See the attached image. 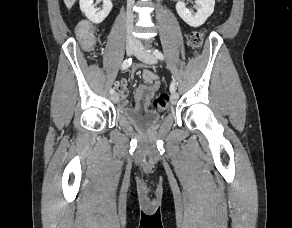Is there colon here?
Wrapping results in <instances>:
<instances>
[{
    "label": "colon",
    "mask_w": 292,
    "mask_h": 228,
    "mask_svg": "<svg viewBox=\"0 0 292 228\" xmlns=\"http://www.w3.org/2000/svg\"><path fill=\"white\" fill-rule=\"evenodd\" d=\"M204 30L194 31L189 34L187 43L191 49L192 53H196L204 39ZM77 36L81 41L83 47L85 49H92L95 46V35L91 25L89 24H80L77 27ZM169 106V96L166 93H161L154 99V107L159 110L163 111L166 110Z\"/></svg>",
    "instance_id": "5ec220e1"
}]
</instances>
